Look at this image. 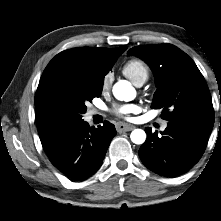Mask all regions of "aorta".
<instances>
[{
  "label": "aorta",
  "mask_w": 221,
  "mask_h": 221,
  "mask_svg": "<svg viewBox=\"0 0 221 221\" xmlns=\"http://www.w3.org/2000/svg\"><path fill=\"white\" fill-rule=\"evenodd\" d=\"M113 95L121 101H131L135 98L136 91L129 81L120 80L113 86ZM131 141L135 144H143L146 140V133L142 129H135L130 135Z\"/></svg>",
  "instance_id": "aorta-1"
}]
</instances>
